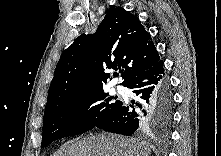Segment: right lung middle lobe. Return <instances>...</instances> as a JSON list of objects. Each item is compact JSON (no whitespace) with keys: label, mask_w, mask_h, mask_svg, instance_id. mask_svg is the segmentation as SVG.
Segmentation results:
<instances>
[{"label":"right lung middle lobe","mask_w":221,"mask_h":156,"mask_svg":"<svg viewBox=\"0 0 221 156\" xmlns=\"http://www.w3.org/2000/svg\"><path fill=\"white\" fill-rule=\"evenodd\" d=\"M103 89L72 92L45 108L41 148L54 140L81 134L108 118L122 101L110 102Z\"/></svg>","instance_id":"dd1d6c3e"}]
</instances>
